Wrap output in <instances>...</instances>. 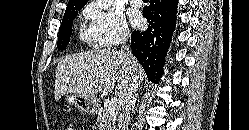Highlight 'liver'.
Listing matches in <instances>:
<instances>
[{
	"label": "liver",
	"instance_id": "liver-1",
	"mask_svg": "<svg viewBox=\"0 0 249 130\" xmlns=\"http://www.w3.org/2000/svg\"><path fill=\"white\" fill-rule=\"evenodd\" d=\"M131 70L139 83L144 80V70L133 57L128 65L121 51L110 49L82 52L67 56L56 67L55 100L65 94H87L95 96L115 89L119 105L129 88Z\"/></svg>",
	"mask_w": 249,
	"mask_h": 130
}]
</instances>
